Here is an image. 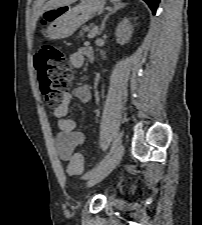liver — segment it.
<instances>
[{
	"label": "liver",
	"instance_id": "1",
	"mask_svg": "<svg viewBox=\"0 0 202 225\" xmlns=\"http://www.w3.org/2000/svg\"><path fill=\"white\" fill-rule=\"evenodd\" d=\"M76 1L77 0H49L38 11L37 17H39L40 15H42L44 12H46L48 10L55 9L57 7H60V6H67V5H70V4H72V3L76 2Z\"/></svg>",
	"mask_w": 202,
	"mask_h": 225
}]
</instances>
